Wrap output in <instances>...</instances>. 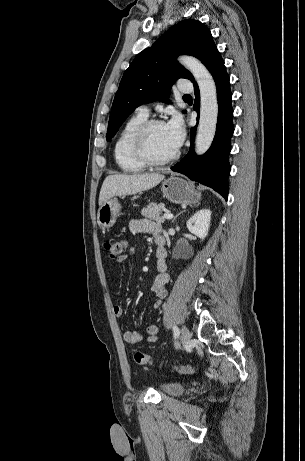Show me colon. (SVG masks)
Masks as SVG:
<instances>
[{"mask_svg": "<svg viewBox=\"0 0 305 461\" xmlns=\"http://www.w3.org/2000/svg\"><path fill=\"white\" fill-rule=\"evenodd\" d=\"M104 248L112 258H118L124 254L126 242L122 239L109 238L104 242ZM134 360L139 365L151 366L154 364V360L142 351L134 352ZM173 369L185 375L196 373V368L192 365H174Z\"/></svg>", "mask_w": 305, "mask_h": 461, "instance_id": "1", "label": "colon"}]
</instances>
